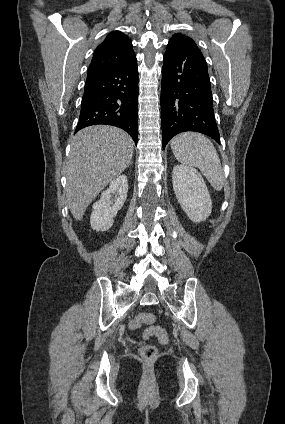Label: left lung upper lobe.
I'll use <instances>...</instances> for the list:
<instances>
[{
    "label": "left lung upper lobe",
    "mask_w": 285,
    "mask_h": 424,
    "mask_svg": "<svg viewBox=\"0 0 285 424\" xmlns=\"http://www.w3.org/2000/svg\"><path fill=\"white\" fill-rule=\"evenodd\" d=\"M178 36H180V37H185V38H188V39H191V38H189V37H187V36H184V35H182V34H175V35H173V37H178Z\"/></svg>",
    "instance_id": "obj_1"
}]
</instances>
